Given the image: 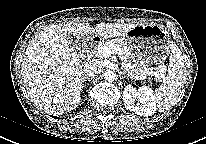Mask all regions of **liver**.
Here are the masks:
<instances>
[{
    "instance_id": "1",
    "label": "liver",
    "mask_w": 206,
    "mask_h": 144,
    "mask_svg": "<svg viewBox=\"0 0 206 144\" xmlns=\"http://www.w3.org/2000/svg\"><path fill=\"white\" fill-rule=\"evenodd\" d=\"M135 25L99 23L95 29L89 23L49 25L28 45L21 74L33 102L43 110L63 114L74 110L81 100L84 68L87 64L67 41L72 34L86 42L97 34L111 38L125 35Z\"/></svg>"
}]
</instances>
